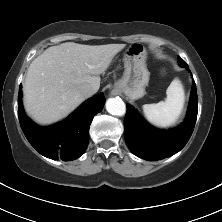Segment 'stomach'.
<instances>
[{
  "label": "stomach",
  "instance_id": "1",
  "mask_svg": "<svg viewBox=\"0 0 222 222\" xmlns=\"http://www.w3.org/2000/svg\"><path fill=\"white\" fill-rule=\"evenodd\" d=\"M146 58V49L140 43L131 44L124 53L125 71L123 77L115 83L114 88L132 100L145 95V87L150 76Z\"/></svg>",
  "mask_w": 222,
  "mask_h": 222
}]
</instances>
